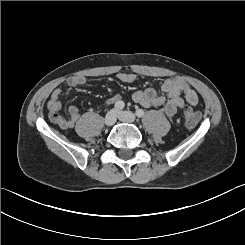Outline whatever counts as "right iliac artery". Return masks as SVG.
<instances>
[{
  "label": "right iliac artery",
  "instance_id": "82829eb1",
  "mask_svg": "<svg viewBox=\"0 0 245 245\" xmlns=\"http://www.w3.org/2000/svg\"><path fill=\"white\" fill-rule=\"evenodd\" d=\"M114 107L116 110H122L125 107V104L123 101H117Z\"/></svg>",
  "mask_w": 245,
  "mask_h": 245
}]
</instances>
